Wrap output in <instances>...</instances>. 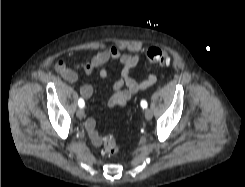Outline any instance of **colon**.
<instances>
[{"label":"colon","instance_id":"obj_1","mask_svg":"<svg viewBox=\"0 0 245 187\" xmlns=\"http://www.w3.org/2000/svg\"><path fill=\"white\" fill-rule=\"evenodd\" d=\"M147 61L156 66H166L170 63V55L165 50L158 47H150L146 51ZM119 151V146L113 136L105 138L103 143V153L108 156H113Z\"/></svg>","mask_w":245,"mask_h":187}]
</instances>
